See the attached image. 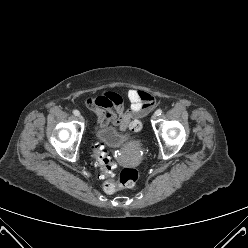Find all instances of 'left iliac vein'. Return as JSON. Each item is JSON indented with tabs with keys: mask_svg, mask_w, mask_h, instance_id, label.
<instances>
[{
	"mask_svg": "<svg viewBox=\"0 0 248 248\" xmlns=\"http://www.w3.org/2000/svg\"><path fill=\"white\" fill-rule=\"evenodd\" d=\"M156 118H157L156 114H153L152 117H151L152 120H155Z\"/></svg>",
	"mask_w": 248,
	"mask_h": 248,
	"instance_id": "1",
	"label": "left iliac vein"
}]
</instances>
